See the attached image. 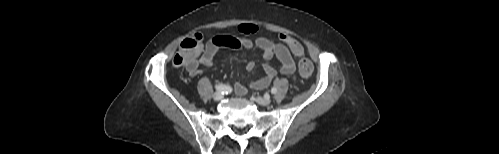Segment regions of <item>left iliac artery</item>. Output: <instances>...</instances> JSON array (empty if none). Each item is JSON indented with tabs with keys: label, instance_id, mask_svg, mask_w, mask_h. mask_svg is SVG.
<instances>
[{
	"label": "left iliac artery",
	"instance_id": "1",
	"mask_svg": "<svg viewBox=\"0 0 499 154\" xmlns=\"http://www.w3.org/2000/svg\"><path fill=\"white\" fill-rule=\"evenodd\" d=\"M276 92H277V89H276L275 87H273V88L271 89V93H272V94H275Z\"/></svg>",
	"mask_w": 499,
	"mask_h": 154
}]
</instances>
